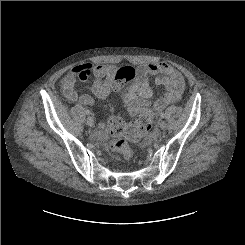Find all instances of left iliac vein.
<instances>
[{
    "label": "left iliac vein",
    "mask_w": 245,
    "mask_h": 245,
    "mask_svg": "<svg viewBox=\"0 0 245 245\" xmlns=\"http://www.w3.org/2000/svg\"><path fill=\"white\" fill-rule=\"evenodd\" d=\"M159 127H160L161 129H166V128H167V123H166L165 121H160Z\"/></svg>",
    "instance_id": "4c4485c4"
}]
</instances>
